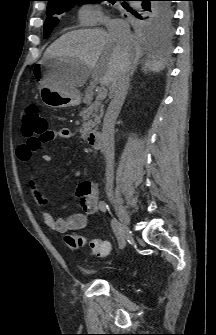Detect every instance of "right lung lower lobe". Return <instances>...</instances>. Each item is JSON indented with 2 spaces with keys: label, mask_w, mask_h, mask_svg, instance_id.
Listing matches in <instances>:
<instances>
[{
  "label": "right lung lower lobe",
  "mask_w": 216,
  "mask_h": 335,
  "mask_svg": "<svg viewBox=\"0 0 216 335\" xmlns=\"http://www.w3.org/2000/svg\"><path fill=\"white\" fill-rule=\"evenodd\" d=\"M136 1H141L142 2V6L140 8H138V13L140 15V17L142 19H150L152 17H154L156 15V11H157V4L161 3V2H167L166 0H136ZM123 6L126 7V3H123ZM164 13H166V11H161L159 12L160 15V19L162 21H168L171 22L172 20V10L168 11V15L164 16Z\"/></svg>",
  "instance_id": "98d812e1"
}]
</instances>
